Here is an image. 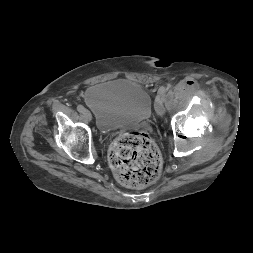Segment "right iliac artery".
Returning <instances> with one entry per match:
<instances>
[{"label": "right iliac artery", "instance_id": "obj_1", "mask_svg": "<svg viewBox=\"0 0 253 253\" xmlns=\"http://www.w3.org/2000/svg\"><path fill=\"white\" fill-rule=\"evenodd\" d=\"M77 110H78L80 113H83V111L85 110V108H84L83 105H78V106H77Z\"/></svg>", "mask_w": 253, "mask_h": 253}]
</instances>
